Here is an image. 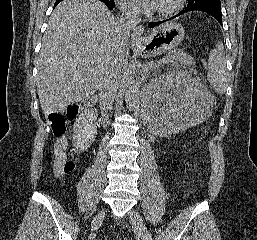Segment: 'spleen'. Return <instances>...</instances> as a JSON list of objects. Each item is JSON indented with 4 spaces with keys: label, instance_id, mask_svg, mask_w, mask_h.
<instances>
[{
    "label": "spleen",
    "instance_id": "3e777b00",
    "mask_svg": "<svg viewBox=\"0 0 257 240\" xmlns=\"http://www.w3.org/2000/svg\"><path fill=\"white\" fill-rule=\"evenodd\" d=\"M207 79L217 93H225L228 86V72L222 42H218L209 55Z\"/></svg>",
    "mask_w": 257,
    "mask_h": 240
}]
</instances>
